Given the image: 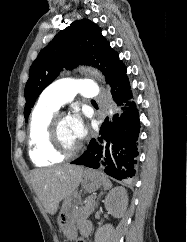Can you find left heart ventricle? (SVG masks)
Instances as JSON below:
<instances>
[{
    "label": "left heart ventricle",
    "mask_w": 187,
    "mask_h": 242,
    "mask_svg": "<svg viewBox=\"0 0 187 242\" xmlns=\"http://www.w3.org/2000/svg\"><path fill=\"white\" fill-rule=\"evenodd\" d=\"M57 138L59 146L64 150H71L78 145V140L73 134L68 118L62 119L58 123Z\"/></svg>",
    "instance_id": "1"
}]
</instances>
